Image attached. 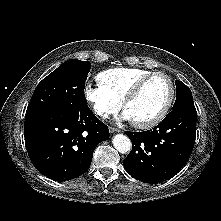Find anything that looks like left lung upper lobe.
Returning a JSON list of instances; mask_svg holds the SVG:
<instances>
[{"instance_id": "1", "label": "left lung upper lobe", "mask_w": 221, "mask_h": 221, "mask_svg": "<svg viewBox=\"0 0 221 221\" xmlns=\"http://www.w3.org/2000/svg\"><path fill=\"white\" fill-rule=\"evenodd\" d=\"M195 109L191 90L181 81L176 80V100L173 110Z\"/></svg>"}]
</instances>
